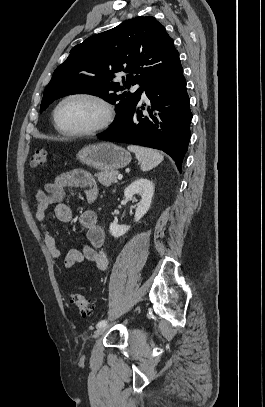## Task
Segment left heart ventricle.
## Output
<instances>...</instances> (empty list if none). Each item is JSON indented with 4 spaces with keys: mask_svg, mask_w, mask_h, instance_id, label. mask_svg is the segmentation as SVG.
I'll use <instances>...</instances> for the list:
<instances>
[{
    "mask_svg": "<svg viewBox=\"0 0 265 407\" xmlns=\"http://www.w3.org/2000/svg\"><path fill=\"white\" fill-rule=\"evenodd\" d=\"M104 117L102 108L93 101L75 98L65 102L59 112L61 127L69 130H81L92 127Z\"/></svg>",
    "mask_w": 265,
    "mask_h": 407,
    "instance_id": "1",
    "label": "left heart ventricle"
}]
</instances>
